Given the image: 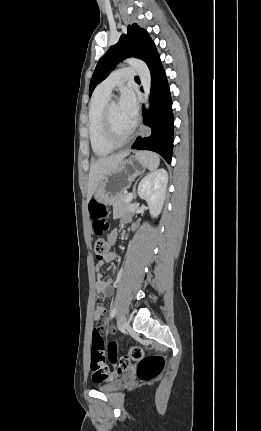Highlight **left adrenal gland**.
Wrapping results in <instances>:
<instances>
[{
    "instance_id": "left-adrenal-gland-1",
    "label": "left adrenal gland",
    "mask_w": 261,
    "mask_h": 431,
    "mask_svg": "<svg viewBox=\"0 0 261 431\" xmlns=\"http://www.w3.org/2000/svg\"><path fill=\"white\" fill-rule=\"evenodd\" d=\"M136 184H137V182L135 183V185H134V187H133V193H134V199H136Z\"/></svg>"
}]
</instances>
